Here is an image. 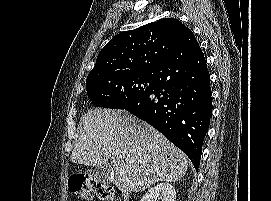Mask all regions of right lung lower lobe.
I'll return each instance as SVG.
<instances>
[{
	"instance_id": "right-lung-lower-lobe-1",
	"label": "right lung lower lobe",
	"mask_w": 271,
	"mask_h": 201,
	"mask_svg": "<svg viewBox=\"0 0 271 201\" xmlns=\"http://www.w3.org/2000/svg\"><path fill=\"white\" fill-rule=\"evenodd\" d=\"M153 74L152 86L119 109L160 131L198 171L213 106L209 72L194 34L186 36Z\"/></svg>"
}]
</instances>
